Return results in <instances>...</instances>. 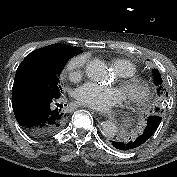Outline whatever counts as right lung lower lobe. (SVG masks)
<instances>
[{
	"label": "right lung lower lobe",
	"mask_w": 177,
	"mask_h": 177,
	"mask_svg": "<svg viewBox=\"0 0 177 177\" xmlns=\"http://www.w3.org/2000/svg\"><path fill=\"white\" fill-rule=\"evenodd\" d=\"M59 97L13 87L12 106L17 122L33 137L55 134L68 116L57 103Z\"/></svg>",
	"instance_id": "obj_1"
}]
</instances>
